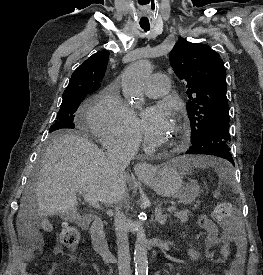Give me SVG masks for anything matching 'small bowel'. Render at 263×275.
<instances>
[{
    "label": "small bowel",
    "instance_id": "small-bowel-1",
    "mask_svg": "<svg viewBox=\"0 0 263 275\" xmlns=\"http://www.w3.org/2000/svg\"><path fill=\"white\" fill-rule=\"evenodd\" d=\"M199 223L201 228L206 233L205 240V256L207 258L212 257L213 248L219 243V230L216 225H214L210 220H208L205 216H201L199 218ZM40 238L37 234H32L30 236V243L27 246L25 253L23 255L22 261L19 263V274L20 275H37L32 274L27 270V264L31 261L35 251L39 247ZM56 255L62 254L61 248L57 247L54 250ZM239 262L236 264L239 267ZM57 271V265H53L50 269L49 275H53ZM214 275V274H207Z\"/></svg>",
    "mask_w": 263,
    "mask_h": 275
}]
</instances>
